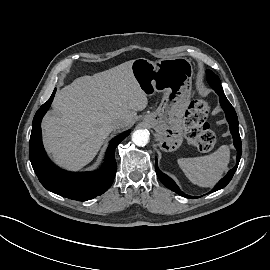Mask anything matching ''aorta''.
I'll list each match as a JSON object with an SVG mask.
<instances>
[{
    "mask_svg": "<svg viewBox=\"0 0 270 270\" xmlns=\"http://www.w3.org/2000/svg\"><path fill=\"white\" fill-rule=\"evenodd\" d=\"M132 141L137 146H145L149 142V132L147 130H136L132 134Z\"/></svg>",
    "mask_w": 270,
    "mask_h": 270,
    "instance_id": "obj_1",
    "label": "aorta"
}]
</instances>
